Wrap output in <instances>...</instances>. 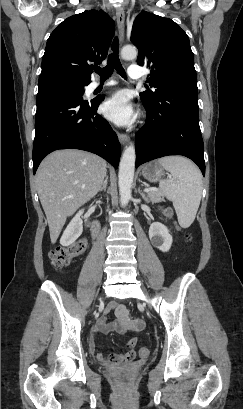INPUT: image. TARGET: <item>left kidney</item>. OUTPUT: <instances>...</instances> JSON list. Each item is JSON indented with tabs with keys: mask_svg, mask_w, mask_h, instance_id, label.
<instances>
[{
	"mask_svg": "<svg viewBox=\"0 0 243 409\" xmlns=\"http://www.w3.org/2000/svg\"><path fill=\"white\" fill-rule=\"evenodd\" d=\"M149 238L152 245L162 252H168L173 242L168 228L159 222L151 224L149 228Z\"/></svg>",
	"mask_w": 243,
	"mask_h": 409,
	"instance_id": "left-kidney-1",
	"label": "left kidney"
}]
</instances>
